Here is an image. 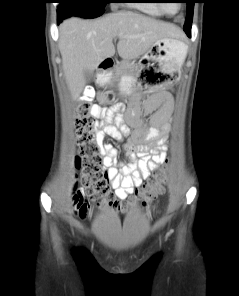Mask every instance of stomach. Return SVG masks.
I'll list each match as a JSON object with an SVG mask.
<instances>
[{"mask_svg": "<svg viewBox=\"0 0 239 296\" xmlns=\"http://www.w3.org/2000/svg\"><path fill=\"white\" fill-rule=\"evenodd\" d=\"M187 49L188 46L178 38L158 39L142 56L138 69H125V74H138L134 84L172 83L178 78ZM170 89V85H113V90H150L151 94ZM116 97L118 101H138V96L133 93H117Z\"/></svg>", "mask_w": 239, "mask_h": 296, "instance_id": "0dacf381", "label": "stomach"}]
</instances>
